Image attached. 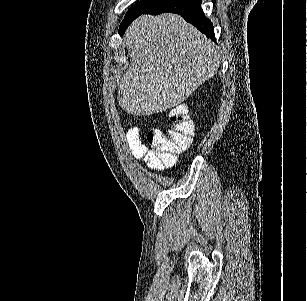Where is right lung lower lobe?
<instances>
[{
	"label": "right lung lower lobe",
	"instance_id": "98d812e1",
	"mask_svg": "<svg viewBox=\"0 0 307 301\" xmlns=\"http://www.w3.org/2000/svg\"><path fill=\"white\" fill-rule=\"evenodd\" d=\"M202 0H161L142 14L158 15L171 12L181 15L208 38L215 40L213 25L201 9Z\"/></svg>",
	"mask_w": 307,
	"mask_h": 301
}]
</instances>
